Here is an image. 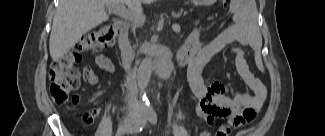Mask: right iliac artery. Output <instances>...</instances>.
Wrapping results in <instances>:
<instances>
[{"label":"right iliac artery","mask_w":325,"mask_h":136,"mask_svg":"<svg viewBox=\"0 0 325 136\" xmlns=\"http://www.w3.org/2000/svg\"><path fill=\"white\" fill-rule=\"evenodd\" d=\"M147 121L146 115H141L139 119L136 121V124L130 128L129 133H137L143 129Z\"/></svg>","instance_id":"82829eb1"}]
</instances>
